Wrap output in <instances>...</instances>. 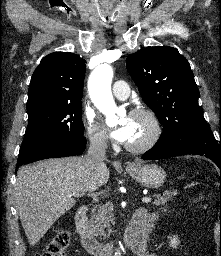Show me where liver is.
<instances>
[{"label":"liver","mask_w":221,"mask_h":256,"mask_svg":"<svg viewBox=\"0 0 221 256\" xmlns=\"http://www.w3.org/2000/svg\"><path fill=\"white\" fill-rule=\"evenodd\" d=\"M109 175L106 165L90 171L85 157L48 159L19 169L14 201L30 245L75 205V198L105 185Z\"/></svg>","instance_id":"obj_1"}]
</instances>
